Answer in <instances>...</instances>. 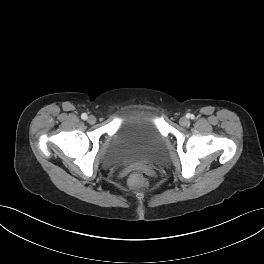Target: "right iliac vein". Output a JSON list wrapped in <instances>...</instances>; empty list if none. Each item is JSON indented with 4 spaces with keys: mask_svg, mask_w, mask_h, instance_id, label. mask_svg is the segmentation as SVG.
Here are the masks:
<instances>
[{
    "mask_svg": "<svg viewBox=\"0 0 264 264\" xmlns=\"http://www.w3.org/2000/svg\"><path fill=\"white\" fill-rule=\"evenodd\" d=\"M87 121H88L89 124H94L96 122V117L93 116V115H90L88 117V120Z\"/></svg>",
    "mask_w": 264,
    "mask_h": 264,
    "instance_id": "obj_1",
    "label": "right iliac vein"
}]
</instances>
